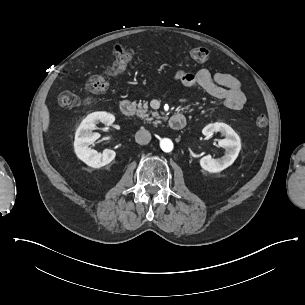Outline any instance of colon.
<instances>
[{"label": "colon", "instance_id": "1", "mask_svg": "<svg viewBox=\"0 0 305 305\" xmlns=\"http://www.w3.org/2000/svg\"><path fill=\"white\" fill-rule=\"evenodd\" d=\"M188 55L200 63L207 64L210 62L209 51L204 47H192L188 49ZM136 54L134 47L118 48L113 56L114 60L104 69L92 74L86 83L87 97L85 102L91 101L96 95L104 93L108 89V77L115 75L126 69ZM58 103L62 107L72 108L82 103V100L69 90L62 91L58 95ZM268 119L265 114H259L256 118V125L259 129L264 130L267 126Z\"/></svg>", "mask_w": 305, "mask_h": 305}]
</instances>
